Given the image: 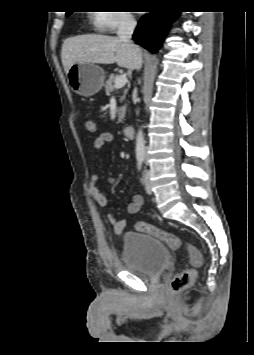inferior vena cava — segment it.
Listing matches in <instances>:
<instances>
[{
  "instance_id": "inferior-vena-cava-1",
  "label": "inferior vena cava",
  "mask_w": 254,
  "mask_h": 355,
  "mask_svg": "<svg viewBox=\"0 0 254 355\" xmlns=\"http://www.w3.org/2000/svg\"><path fill=\"white\" fill-rule=\"evenodd\" d=\"M135 27H136L135 20L129 15H124L120 19L117 35L121 41L129 45L135 51H138L136 45H134L131 41V37ZM141 67H142V55L140 52H138L136 55V69L139 70L141 69Z\"/></svg>"
}]
</instances>
